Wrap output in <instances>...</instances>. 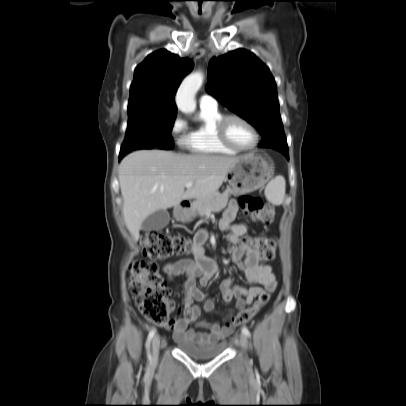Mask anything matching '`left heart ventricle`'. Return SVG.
Segmentation results:
<instances>
[{
    "label": "left heart ventricle",
    "instance_id": "1",
    "mask_svg": "<svg viewBox=\"0 0 406 406\" xmlns=\"http://www.w3.org/2000/svg\"><path fill=\"white\" fill-rule=\"evenodd\" d=\"M227 135L232 143L242 148L250 147L255 139L250 128L235 119L228 122Z\"/></svg>",
    "mask_w": 406,
    "mask_h": 406
}]
</instances>
